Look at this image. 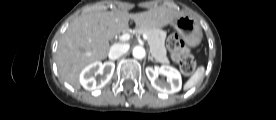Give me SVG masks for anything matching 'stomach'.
<instances>
[{"mask_svg": "<svg viewBox=\"0 0 276 120\" xmlns=\"http://www.w3.org/2000/svg\"><path fill=\"white\" fill-rule=\"evenodd\" d=\"M172 25L177 32L192 46H196L201 39V30L196 21L187 14L176 18Z\"/></svg>", "mask_w": 276, "mask_h": 120, "instance_id": "0dacf381", "label": "stomach"}]
</instances>
